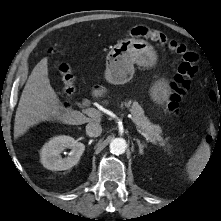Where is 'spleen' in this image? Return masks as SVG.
<instances>
[{
  "label": "spleen",
  "mask_w": 221,
  "mask_h": 221,
  "mask_svg": "<svg viewBox=\"0 0 221 221\" xmlns=\"http://www.w3.org/2000/svg\"><path fill=\"white\" fill-rule=\"evenodd\" d=\"M210 154V146L207 142L203 141L187 163V171L191 179L196 178L200 174L205 167Z\"/></svg>",
  "instance_id": "1"
}]
</instances>
